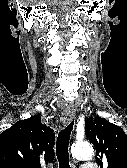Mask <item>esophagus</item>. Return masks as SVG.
<instances>
[{
  "label": "esophagus",
  "mask_w": 127,
  "mask_h": 168,
  "mask_svg": "<svg viewBox=\"0 0 127 168\" xmlns=\"http://www.w3.org/2000/svg\"><path fill=\"white\" fill-rule=\"evenodd\" d=\"M75 114H76L75 109L73 108L65 109L60 118L62 125L69 124L75 118Z\"/></svg>",
  "instance_id": "obj_1"
}]
</instances>
